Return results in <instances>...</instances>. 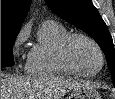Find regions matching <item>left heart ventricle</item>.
I'll list each match as a JSON object with an SVG mask.
<instances>
[{
	"instance_id": "left-heart-ventricle-1",
	"label": "left heart ventricle",
	"mask_w": 115,
	"mask_h": 99,
	"mask_svg": "<svg viewBox=\"0 0 115 99\" xmlns=\"http://www.w3.org/2000/svg\"><path fill=\"white\" fill-rule=\"evenodd\" d=\"M70 55L75 65L85 72H94L100 65L95 47L84 39H76L70 46Z\"/></svg>"
}]
</instances>
